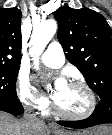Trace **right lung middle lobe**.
<instances>
[{"label":"right lung middle lobe","mask_w":112,"mask_h":135,"mask_svg":"<svg viewBox=\"0 0 112 135\" xmlns=\"http://www.w3.org/2000/svg\"><path fill=\"white\" fill-rule=\"evenodd\" d=\"M20 63H0V101L20 103L16 94V79Z\"/></svg>","instance_id":"obj_1"}]
</instances>
